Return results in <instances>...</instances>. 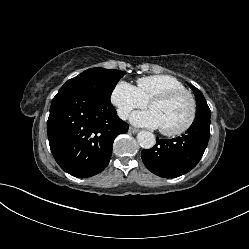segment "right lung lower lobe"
<instances>
[{
  "label": "right lung lower lobe",
  "instance_id": "right-lung-lower-lobe-1",
  "mask_svg": "<svg viewBox=\"0 0 249 249\" xmlns=\"http://www.w3.org/2000/svg\"><path fill=\"white\" fill-rule=\"evenodd\" d=\"M128 124L111 103L76 88H61L47 121L51 152L59 166L78 178L91 177L108 165L114 139Z\"/></svg>",
  "mask_w": 249,
  "mask_h": 249
}]
</instances>
